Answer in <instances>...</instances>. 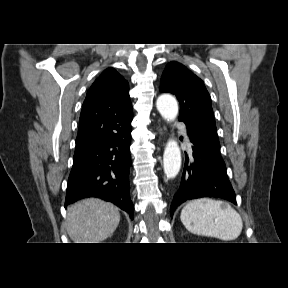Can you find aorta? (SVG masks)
I'll return each mask as SVG.
<instances>
[{
    "mask_svg": "<svg viewBox=\"0 0 288 288\" xmlns=\"http://www.w3.org/2000/svg\"><path fill=\"white\" fill-rule=\"evenodd\" d=\"M157 109L161 116L167 121L172 122L178 114V104L174 97L163 94L158 97L156 102ZM164 173L168 178H175L181 168V151L178 143L170 139L163 154Z\"/></svg>",
    "mask_w": 288,
    "mask_h": 288,
    "instance_id": "aorta-1",
    "label": "aorta"
}]
</instances>
